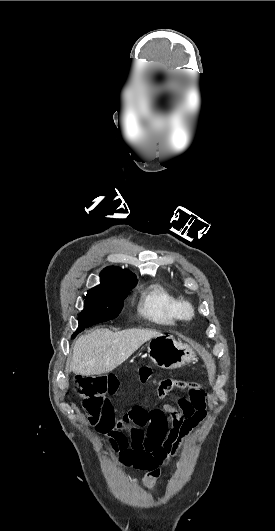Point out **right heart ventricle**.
<instances>
[{
    "label": "right heart ventricle",
    "instance_id": "1",
    "mask_svg": "<svg viewBox=\"0 0 275 531\" xmlns=\"http://www.w3.org/2000/svg\"><path fill=\"white\" fill-rule=\"evenodd\" d=\"M177 297L162 283L146 285L140 296V312L153 322L173 325L178 321L175 313Z\"/></svg>",
    "mask_w": 275,
    "mask_h": 531
}]
</instances>
